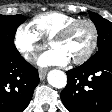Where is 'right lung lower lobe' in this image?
<instances>
[{
	"mask_svg": "<svg viewBox=\"0 0 112 112\" xmlns=\"http://www.w3.org/2000/svg\"><path fill=\"white\" fill-rule=\"evenodd\" d=\"M40 79L22 56L0 59V112H23Z\"/></svg>",
	"mask_w": 112,
	"mask_h": 112,
	"instance_id": "98d812e1",
	"label": "right lung lower lobe"
}]
</instances>
